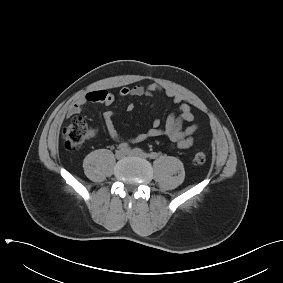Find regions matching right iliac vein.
<instances>
[{
  "instance_id": "right-iliac-vein-1",
  "label": "right iliac vein",
  "mask_w": 283,
  "mask_h": 283,
  "mask_svg": "<svg viewBox=\"0 0 283 283\" xmlns=\"http://www.w3.org/2000/svg\"><path fill=\"white\" fill-rule=\"evenodd\" d=\"M125 155H126V152L123 151V150H118V151H116V153H115V157H116L117 159H122Z\"/></svg>"
}]
</instances>
